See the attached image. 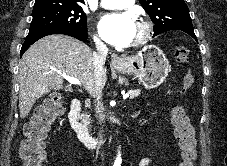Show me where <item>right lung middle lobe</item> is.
<instances>
[{
	"instance_id": "dd1d6c3e",
	"label": "right lung middle lobe",
	"mask_w": 227,
	"mask_h": 166,
	"mask_svg": "<svg viewBox=\"0 0 227 166\" xmlns=\"http://www.w3.org/2000/svg\"><path fill=\"white\" fill-rule=\"evenodd\" d=\"M28 36L49 29L87 32L86 15L78 4L44 3L34 5Z\"/></svg>"
}]
</instances>
